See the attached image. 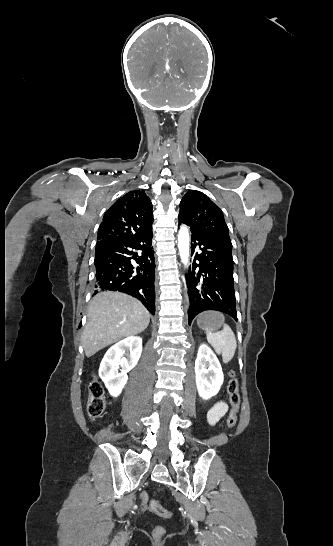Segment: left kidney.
<instances>
[{
	"mask_svg": "<svg viewBox=\"0 0 333 546\" xmlns=\"http://www.w3.org/2000/svg\"><path fill=\"white\" fill-rule=\"evenodd\" d=\"M196 386L199 395L208 400L215 396L224 381L221 364L206 344L199 347L195 361Z\"/></svg>",
	"mask_w": 333,
	"mask_h": 546,
	"instance_id": "obj_1",
	"label": "left kidney"
}]
</instances>
